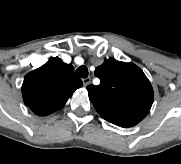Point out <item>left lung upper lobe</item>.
Returning a JSON list of instances; mask_svg holds the SVG:
<instances>
[{
    "label": "left lung upper lobe",
    "mask_w": 181,
    "mask_h": 164,
    "mask_svg": "<svg viewBox=\"0 0 181 164\" xmlns=\"http://www.w3.org/2000/svg\"><path fill=\"white\" fill-rule=\"evenodd\" d=\"M98 86L87 87L97 112L107 121L132 127L149 113L154 93L143 71L133 63L105 60L95 70Z\"/></svg>",
    "instance_id": "left-lung-upper-lobe-1"
}]
</instances>
